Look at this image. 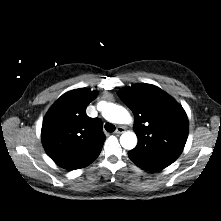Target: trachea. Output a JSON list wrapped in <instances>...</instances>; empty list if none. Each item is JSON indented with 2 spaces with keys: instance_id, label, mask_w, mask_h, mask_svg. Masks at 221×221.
<instances>
[{
  "instance_id": "3493384b",
  "label": "trachea",
  "mask_w": 221,
  "mask_h": 221,
  "mask_svg": "<svg viewBox=\"0 0 221 221\" xmlns=\"http://www.w3.org/2000/svg\"><path fill=\"white\" fill-rule=\"evenodd\" d=\"M115 126L111 123H106L105 124V130L108 132H114L115 131Z\"/></svg>"
}]
</instances>
